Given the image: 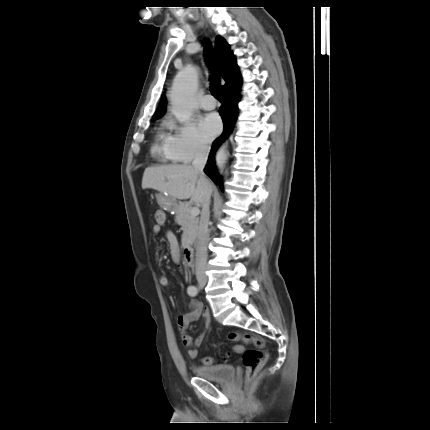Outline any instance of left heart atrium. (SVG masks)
Masks as SVG:
<instances>
[{
    "instance_id": "obj_1",
    "label": "left heart atrium",
    "mask_w": 430,
    "mask_h": 430,
    "mask_svg": "<svg viewBox=\"0 0 430 430\" xmlns=\"http://www.w3.org/2000/svg\"><path fill=\"white\" fill-rule=\"evenodd\" d=\"M199 128L203 138L212 140L221 130V121L215 113L203 116L199 122Z\"/></svg>"
}]
</instances>
